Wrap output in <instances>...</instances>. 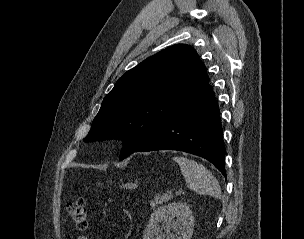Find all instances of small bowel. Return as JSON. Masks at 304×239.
Here are the masks:
<instances>
[{
	"instance_id": "small-bowel-1",
	"label": "small bowel",
	"mask_w": 304,
	"mask_h": 239,
	"mask_svg": "<svg viewBox=\"0 0 304 239\" xmlns=\"http://www.w3.org/2000/svg\"><path fill=\"white\" fill-rule=\"evenodd\" d=\"M76 239H88V238L84 235H81V236H78Z\"/></svg>"
}]
</instances>
